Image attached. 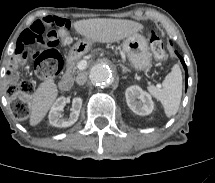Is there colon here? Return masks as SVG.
Segmentation results:
<instances>
[{"mask_svg": "<svg viewBox=\"0 0 215 183\" xmlns=\"http://www.w3.org/2000/svg\"><path fill=\"white\" fill-rule=\"evenodd\" d=\"M70 24L64 18L48 17L32 23L19 39L15 56L19 62L34 61V70L37 76L47 77L57 73L60 69L61 55L57 50L59 44L69 45ZM150 48L154 57L164 62L167 53L162 39L151 33ZM8 96L14 115L19 119H27L30 113L29 97L34 86L29 81H23L22 67L13 63L7 67Z\"/></svg>", "mask_w": 215, "mask_h": 183, "instance_id": "obj_1", "label": "colon"}]
</instances>
